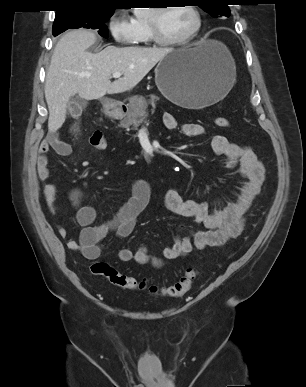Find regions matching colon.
<instances>
[{"label": "colon", "instance_id": "obj_1", "mask_svg": "<svg viewBox=\"0 0 306 387\" xmlns=\"http://www.w3.org/2000/svg\"><path fill=\"white\" fill-rule=\"evenodd\" d=\"M214 123L220 128L230 127L229 120L224 117H216ZM89 143L96 149H104L107 146L106 138L100 131H96L90 136ZM90 270L94 275L106 278L112 285L119 288L133 291H147L154 295L160 294L168 297H180L184 295L190 290L197 277V271L189 268L174 284L166 287H158L149 284L146 280H139L125 275L104 261L92 263Z\"/></svg>", "mask_w": 306, "mask_h": 387}]
</instances>
